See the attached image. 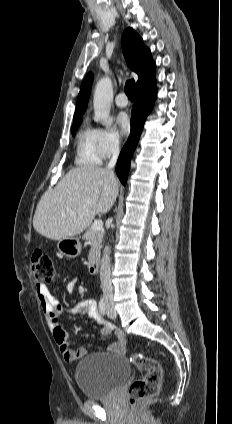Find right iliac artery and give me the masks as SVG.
Here are the masks:
<instances>
[{
	"mask_svg": "<svg viewBox=\"0 0 232 424\" xmlns=\"http://www.w3.org/2000/svg\"><path fill=\"white\" fill-rule=\"evenodd\" d=\"M99 310L102 315L106 313V301L104 298H101L99 301Z\"/></svg>",
	"mask_w": 232,
	"mask_h": 424,
	"instance_id": "right-iliac-artery-1",
	"label": "right iliac artery"
}]
</instances>
